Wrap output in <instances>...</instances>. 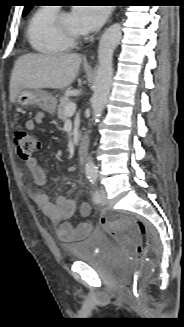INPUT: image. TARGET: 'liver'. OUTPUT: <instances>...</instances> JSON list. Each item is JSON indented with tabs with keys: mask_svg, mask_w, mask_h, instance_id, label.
<instances>
[{
	"mask_svg": "<svg viewBox=\"0 0 184 327\" xmlns=\"http://www.w3.org/2000/svg\"><path fill=\"white\" fill-rule=\"evenodd\" d=\"M81 56L67 54H25L13 67L10 79V101L14 103L22 89H64L78 74Z\"/></svg>",
	"mask_w": 184,
	"mask_h": 327,
	"instance_id": "6515ba94",
	"label": "liver"
}]
</instances>
